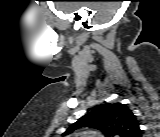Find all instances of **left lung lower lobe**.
I'll list each match as a JSON object with an SVG mask.
<instances>
[{
    "mask_svg": "<svg viewBox=\"0 0 160 137\" xmlns=\"http://www.w3.org/2000/svg\"><path fill=\"white\" fill-rule=\"evenodd\" d=\"M141 136V130L138 127L131 135V137H140Z\"/></svg>",
    "mask_w": 160,
    "mask_h": 137,
    "instance_id": "left-lung-lower-lobe-1",
    "label": "left lung lower lobe"
}]
</instances>
